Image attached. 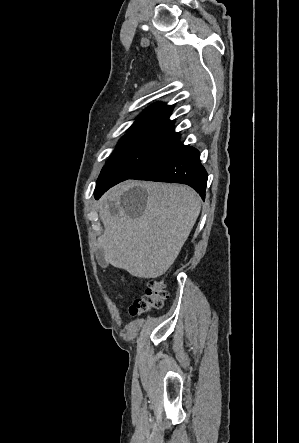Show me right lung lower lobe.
I'll use <instances>...</instances> for the list:
<instances>
[{
    "label": "right lung lower lobe",
    "mask_w": 299,
    "mask_h": 443,
    "mask_svg": "<svg viewBox=\"0 0 299 443\" xmlns=\"http://www.w3.org/2000/svg\"><path fill=\"white\" fill-rule=\"evenodd\" d=\"M130 179L186 184L204 199L207 172L201 165L199 151L178 141L164 155ZM112 186L95 192V198L98 199Z\"/></svg>",
    "instance_id": "right-lung-lower-lobe-1"
}]
</instances>
